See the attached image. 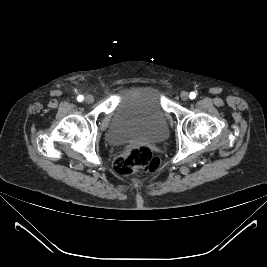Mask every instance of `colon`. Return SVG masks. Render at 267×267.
Listing matches in <instances>:
<instances>
[{"mask_svg":"<svg viewBox=\"0 0 267 267\" xmlns=\"http://www.w3.org/2000/svg\"><path fill=\"white\" fill-rule=\"evenodd\" d=\"M159 165V158L149 147L135 145L115 159L114 170L118 175L126 176L136 172H153Z\"/></svg>","mask_w":267,"mask_h":267,"instance_id":"obj_1","label":"colon"}]
</instances>
